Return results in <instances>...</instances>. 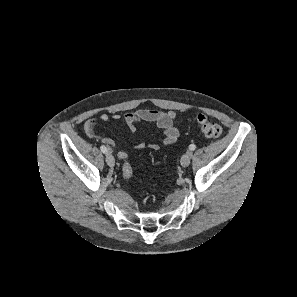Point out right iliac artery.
Returning <instances> with one entry per match:
<instances>
[{
    "label": "right iliac artery",
    "mask_w": 297,
    "mask_h": 297,
    "mask_svg": "<svg viewBox=\"0 0 297 297\" xmlns=\"http://www.w3.org/2000/svg\"><path fill=\"white\" fill-rule=\"evenodd\" d=\"M100 149L103 153H107V148L104 145H102Z\"/></svg>",
    "instance_id": "82829eb1"
}]
</instances>
